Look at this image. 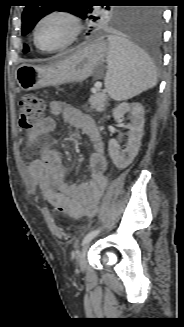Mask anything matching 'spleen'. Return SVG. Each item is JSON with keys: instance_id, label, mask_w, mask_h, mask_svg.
Returning <instances> with one entry per match:
<instances>
[{"instance_id": "3e777b00", "label": "spleen", "mask_w": 184, "mask_h": 327, "mask_svg": "<svg viewBox=\"0 0 184 327\" xmlns=\"http://www.w3.org/2000/svg\"><path fill=\"white\" fill-rule=\"evenodd\" d=\"M105 87L115 101L130 99L157 84V71L149 56L127 39L108 37Z\"/></svg>"}]
</instances>
